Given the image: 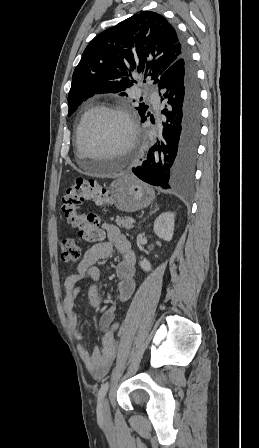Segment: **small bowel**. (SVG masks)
<instances>
[{
    "label": "small bowel",
    "instance_id": "small-bowel-1",
    "mask_svg": "<svg viewBox=\"0 0 259 448\" xmlns=\"http://www.w3.org/2000/svg\"><path fill=\"white\" fill-rule=\"evenodd\" d=\"M106 241H101L91 246L84 254L77 266V272L68 276L64 282L66 296L63 301V309L66 314L68 326L77 340H82V334L78 329V317L74 310L75 300L81 287L79 282L90 280L88 289L89 303L94 307H100V272L95 264L108 258L113 249L120 254V261L116 265L115 275L118 279L117 297L120 301L128 300L135 290V254L127 237L114 225H103ZM115 307L106 310L100 319L99 327L103 331L102 348H94L89 351L79 345L78 351L87 370L95 379H101L108 372L116 355L115 333L118 327L114 324Z\"/></svg>",
    "mask_w": 259,
    "mask_h": 448
}]
</instances>
